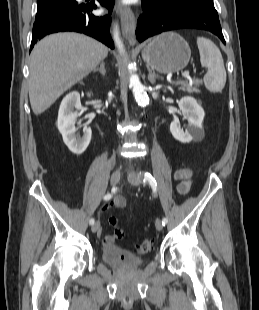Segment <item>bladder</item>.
<instances>
[{"label":"bladder","instance_id":"31cf9c89","mask_svg":"<svg viewBox=\"0 0 259 310\" xmlns=\"http://www.w3.org/2000/svg\"><path fill=\"white\" fill-rule=\"evenodd\" d=\"M101 260L110 266L120 269L137 268L144 262L143 258L117 245L104 246L101 251Z\"/></svg>","mask_w":259,"mask_h":310}]
</instances>
